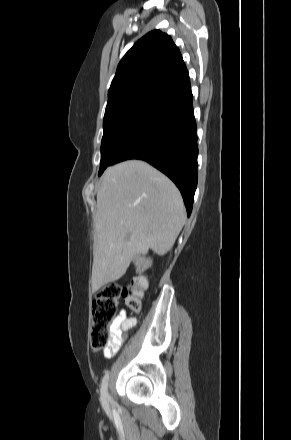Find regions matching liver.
I'll return each instance as SVG.
<instances>
[{"label": "liver", "instance_id": "obj_1", "mask_svg": "<svg viewBox=\"0 0 291 440\" xmlns=\"http://www.w3.org/2000/svg\"><path fill=\"white\" fill-rule=\"evenodd\" d=\"M186 221L173 182L141 160L108 167L97 192L92 291L116 281L136 254H166Z\"/></svg>", "mask_w": 291, "mask_h": 440}]
</instances>
